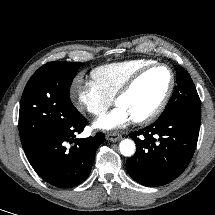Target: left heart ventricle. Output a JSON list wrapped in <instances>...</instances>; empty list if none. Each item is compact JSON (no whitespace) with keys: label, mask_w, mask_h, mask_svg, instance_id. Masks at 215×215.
I'll list each match as a JSON object with an SVG mask.
<instances>
[{"label":"left heart ventricle","mask_w":215,"mask_h":215,"mask_svg":"<svg viewBox=\"0 0 215 215\" xmlns=\"http://www.w3.org/2000/svg\"><path fill=\"white\" fill-rule=\"evenodd\" d=\"M170 83L166 68H155L145 74L135 87L120 98L117 105L125 107L134 119L149 114L161 101Z\"/></svg>","instance_id":"1"}]
</instances>
